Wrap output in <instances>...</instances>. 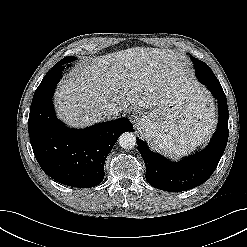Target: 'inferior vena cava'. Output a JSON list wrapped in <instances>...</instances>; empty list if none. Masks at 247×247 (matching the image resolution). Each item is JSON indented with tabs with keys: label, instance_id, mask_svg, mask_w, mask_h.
I'll return each mask as SVG.
<instances>
[{
	"label": "inferior vena cava",
	"instance_id": "obj_1",
	"mask_svg": "<svg viewBox=\"0 0 247 247\" xmlns=\"http://www.w3.org/2000/svg\"><path fill=\"white\" fill-rule=\"evenodd\" d=\"M118 112H119L118 107H116L115 105L110 104V103L104 105L102 108V115L108 119L117 115Z\"/></svg>",
	"mask_w": 247,
	"mask_h": 247
}]
</instances>
